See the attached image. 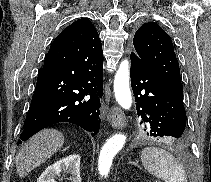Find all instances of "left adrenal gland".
<instances>
[{
  "mask_svg": "<svg viewBox=\"0 0 211 182\" xmlns=\"http://www.w3.org/2000/svg\"><path fill=\"white\" fill-rule=\"evenodd\" d=\"M130 164H132V165H135V166H137L138 165V163L136 162V161H133V162H129Z\"/></svg>",
  "mask_w": 211,
  "mask_h": 182,
  "instance_id": "obj_1",
  "label": "left adrenal gland"
}]
</instances>
